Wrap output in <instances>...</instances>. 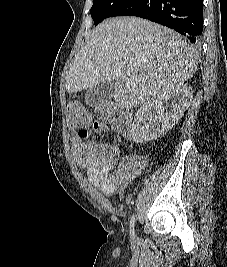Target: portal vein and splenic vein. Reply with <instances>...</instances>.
<instances>
[{"label":"portal vein and splenic vein","mask_w":227,"mask_h":267,"mask_svg":"<svg viewBox=\"0 0 227 267\" xmlns=\"http://www.w3.org/2000/svg\"><path fill=\"white\" fill-rule=\"evenodd\" d=\"M126 75H127V76H130V77H133V76H134L133 72L130 71V70H127V71H126Z\"/></svg>","instance_id":"1"}]
</instances>
